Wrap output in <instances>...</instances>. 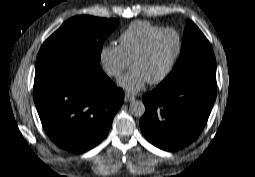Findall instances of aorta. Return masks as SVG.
Segmentation results:
<instances>
[{
    "label": "aorta",
    "mask_w": 255,
    "mask_h": 177,
    "mask_svg": "<svg viewBox=\"0 0 255 177\" xmlns=\"http://www.w3.org/2000/svg\"><path fill=\"white\" fill-rule=\"evenodd\" d=\"M129 112L135 117H142L145 112V105L140 100H133L129 105Z\"/></svg>",
    "instance_id": "1"
}]
</instances>
